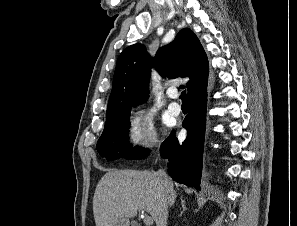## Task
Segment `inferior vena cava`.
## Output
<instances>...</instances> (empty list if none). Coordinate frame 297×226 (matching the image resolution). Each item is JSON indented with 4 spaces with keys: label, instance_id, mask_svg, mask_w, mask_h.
<instances>
[{
    "label": "inferior vena cava",
    "instance_id": "obj_1",
    "mask_svg": "<svg viewBox=\"0 0 297 226\" xmlns=\"http://www.w3.org/2000/svg\"><path fill=\"white\" fill-rule=\"evenodd\" d=\"M156 174L161 181V184L166 188L168 204L172 206L176 200V192L173 188L171 179L164 169H159Z\"/></svg>",
    "mask_w": 297,
    "mask_h": 226
}]
</instances>
